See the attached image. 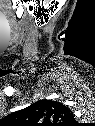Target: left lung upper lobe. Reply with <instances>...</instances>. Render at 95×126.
Masks as SVG:
<instances>
[{"label": "left lung upper lobe", "mask_w": 95, "mask_h": 126, "mask_svg": "<svg viewBox=\"0 0 95 126\" xmlns=\"http://www.w3.org/2000/svg\"><path fill=\"white\" fill-rule=\"evenodd\" d=\"M8 121L17 126H71L73 114L63 103L43 99L25 109L9 114Z\"/></svg>", "instance_id": "obj_1"}]
</instances>
